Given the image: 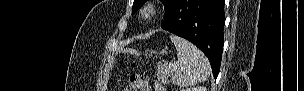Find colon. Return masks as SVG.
I'll return each instance as SVG.
<instances>
[{
	"label": "colon",
	"instance_id": "obj_1",
	"mask_svg": "<svg viewBox=\"0 0 304 91\" xmlns=\"http://www.w3.org/2000/svg\"><path fill=\"white\" fill-rule=\"evenodd\" d=\"M125 90L128 91H149L150 82L147 78L141 77L139 75H132L127 81Z\"/></svg>",
	"mask_w": 304,
	"mask_h": 91
}]
</instances>
